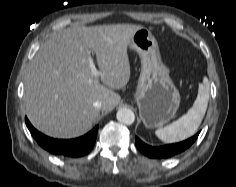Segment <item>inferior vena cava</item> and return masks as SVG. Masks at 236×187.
I'll list each match as a JSON object with an SVG mask.
<instances>
[{
  "instance_id": "inferior-vena-cava-1",
  "label": "inferior vena cava",
  "mask_w": 236,
  "mask_h": 187,
  "mask_svg": "<svg viewBox=\"0 0 236 187\" xmlns=\"http://www.w3.org/2000/svg\"><path fill=\"white\" fill-rule=\"evenodd\" d=\"M93 105L95 108H98V109H100L102 107V103L100 101L94 102Z\"/></svg>"
}]
</instances>
